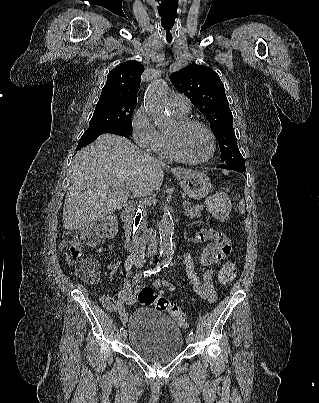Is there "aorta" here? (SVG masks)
<instances>
[{"label": "aorta", "instance_id": "obj_1", "mask_svg": "<svg viewBox=\"0 0 319 403\" xmlns=\"http://www.w3.org/2000/svg\"><path fill=\"white\" fill-rule=\"evenodd\" d=\"M167 83L162 80L152 82L145 93L144 108L154 123L161 127L167 120ZM160 234V255L170 259L173 256L172 237L174 234V221L171 213L167 210L164 212L159 223Z\"/></svg>", "mask_w": 319, "mask_h": 403}]
</instances>
